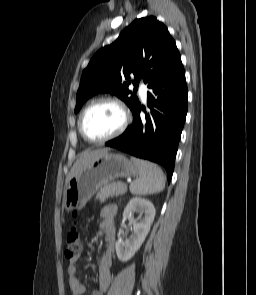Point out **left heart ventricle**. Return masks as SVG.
Here are the masks:
<instances>
[{"mask_svg": "<svg viewBox=\"0 0 256 295\" xmlns=\"http://www.w3.org/2000/svg\"><path fill=\"white\" fill-rule=\"evenodd\" d=\"M121 122L120 110L112 104L103 103L88 113L84 127L89 137L101 139L114 133Z\"/></svg>", "mask_w": 256, "mask_h": 295, "instance_id": "1", "label": "left heart ventricle"}]
</instances>
